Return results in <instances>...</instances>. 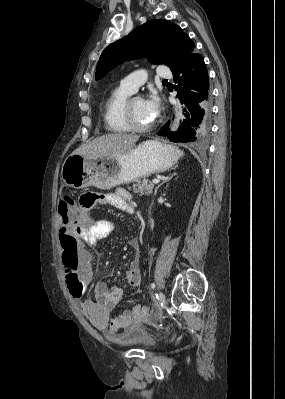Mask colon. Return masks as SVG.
<instances>
[{"label":"colon","instance_id":"obj_1","mask_svg":"<svg viewBox=\"0 0 285 399\" xmlns=\"http://www.w3.org/2000/svg\"><path fill=\"white\" fill-rule=\"evenodd\" d=\"M98 203V194L87 193L80 201L81 206L91 208ZM74 205L73 197L66 195L60 201V212L64 217L62 223L66 222L65 214L72 209ZM63 269L66 276L67 286L70 293L77 297L81 294V280L79 274V260L78 253L76 250L70 249L65 252L62 257ZM148 314V309L145 306L135 305L132 308L125 310L119 316L111 320L112 327H126L141 318L146 317Z\"/></svg>","mask_w":285,"mask_h":399}]
</instances>
